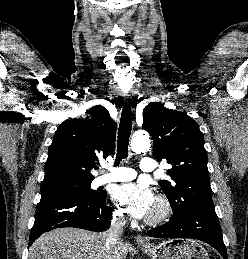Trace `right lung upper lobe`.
<instances>
[{
  "instance_id": "cb5924a9",
  "label": "right lung upper lobe",
  "mask_w": 248,
  "mask_h": 259,
  "mask_svg": "<svg viewBox=\"0 0 248 259\" xmlns=\"http://www.w3.org/2000/svg\"><path fill=\"white\" fill-rule=\"evenodd\" d=\"M88 117L64 121L55 132L45 163L42 184L93 180L98 158L113 152L116 123L107 109L97 105Z\"/></svg>"
}]
</instances>
